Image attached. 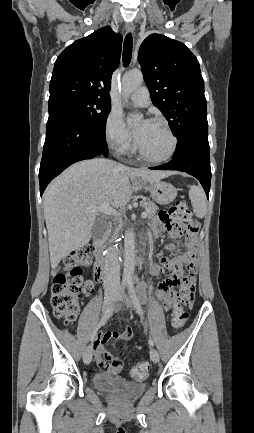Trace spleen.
<instances>
[{"label":"spleen","mask_w":254,"mask_h":433,"mask_svg":"<svg viewBox=\"0 0 254 433\" xmlns=\"http://www.w3.org/2000/svg\"><path fill=\"white\" fill-rule=\"evenodd\" d=\"M189 198L196 217L204 218L207 207L204 191L198 186H190Z\"/></svg>","instance_id":"3e777b00"}]
</instances>
